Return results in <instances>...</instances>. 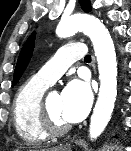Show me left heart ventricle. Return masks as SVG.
<instances>
[{"mask_svg":"<svg viewBox=\"0 0 131 151\" xmlns=\"http://www.w3.org/2000/svg\"><path fill=\"white\" fill-rule=\"evenodd\" d=\"M48 107L55 122L61 125L68 124V122L62 116L61 94L56 92L49 94Z\"/></svg>","mask_w":131,"mask_h":151,"instance_id":"left-heart-ventricle-1","label":"left heart ventricle"}]
</instances>
